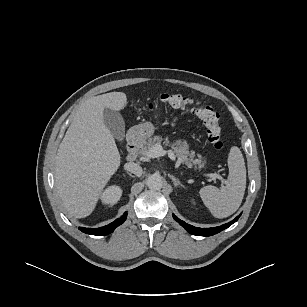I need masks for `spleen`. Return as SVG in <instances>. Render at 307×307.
<instances>
[{"label": "spleen", "instance_id": "obj_1", "mask_svg": "<svg viewBox=\"0 0 307 307\" xmlns=\"http://www.w3.org/2000/svg\"><path fill=\"white\" fill-rule=\"evenodd\" d=\"M229 176L225 185L205 186L199 194L204 205L217 218L232 215L240 207L246 188V167L240 149L233 146L228 155Z\"/></svg>", "mask_w": 307, "mask_h": 307}]
</instances>
